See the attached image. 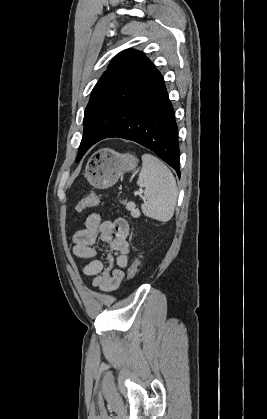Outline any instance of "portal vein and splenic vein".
I'll return each instance as SVG.
<instances>
[{
    "label": "portal vein and splenic vein",
    "instance_id": "portal-vein-and-splenic-vein-1",
    "mask_svg": "<svg viewBox=\"0 0 267 419\" xmlns=\"http://www.w3.org/2000/svg\"><path fill=\"white\" fill-rule=\"evenodd\" d=\"M140 194H142V190L135 191V195H140Z\"/></svg>",
    "mask_w": 267,
    "mask_h": 419
}]
</instances>
